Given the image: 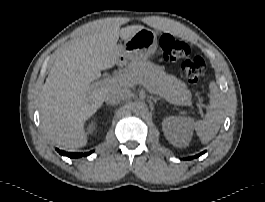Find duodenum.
<instances>
[{
  "mask_svg": "<svg viewBox=\"0 0 265 202\" xmlns=\"http://www.w3.org/2000/svg\"><path fill=\"white\" fill-rule=\"evenodd\" d=\"M122 62V57L117 58L116 66H119Z\"/></svg>",
  "mask_w": 265,
  "mask_h": 202,
  "instance_id": "410a0bca",
  "label": "duodenum"
}]
</instances>
